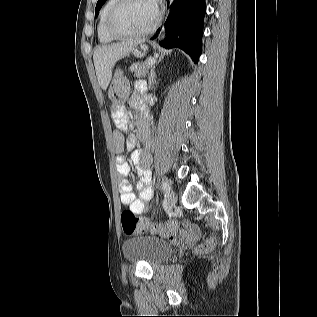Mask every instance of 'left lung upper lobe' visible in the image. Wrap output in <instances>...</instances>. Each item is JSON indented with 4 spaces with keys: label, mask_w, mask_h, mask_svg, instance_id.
Listing matches in <instances>:
<instances>
[{
    "label": "left lung upper lobe",
    "mask_w": 317,
    "mask_h": 317,
    "mask_svg": "<svg viewBox=\"0 0 317 317\" xmlns=\"http://www.w3.org/2000/svg\"><path fill=\"white\" fill-rule=\"evenodd\" d=\"M106 2V0H98L97 4H96V8H95V16L98 15V12L100 10V8L102 7V5Z\"/></svg>",
    "instance_id": "1"
}]
</instances>
